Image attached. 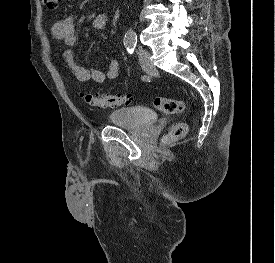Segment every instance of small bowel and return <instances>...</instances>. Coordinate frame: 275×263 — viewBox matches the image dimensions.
<instances>
[{"label":"small bowel","instance_id":"obj_1","mask_svg":"<svg viewBox=\"0 0 275 263\" xmlns=\"http://www.w3.org/2000/svg\"><path fill=\"white\" fill-rule=\"evenodd\" d=\"M109 22V15L105 13L96 14L92 19V28L94 30L104 29ZM51 33L57 40L63 41L66 45L73 47L76 45L77 37L75 31L74 17L72 15L54 22L51 26ZM62 60L69 67L74 79L79 82L103 83L117 78L119 74V62L111 59L108 62L106 71L97 68H88L78 63L73 51L68 49L62 53Z\"/></svg>","mask_w":275,"mask_h":263}]
</instances>
